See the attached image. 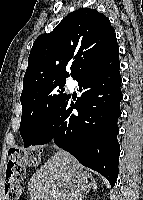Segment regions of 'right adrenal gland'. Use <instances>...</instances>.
<instances>
[{
  "label": "right adrenal gland",
  "mask_w": 143,
  "mask_h": 200,
  "mask_svg": "<svg viewBox=\"0 0 143 200\" xmlns=\"http://www.w3.org/2000/svg\"><path fill=\"white\" fill-rule=\"evenodd\" d=\"M90 189H92L93 191H96V189H97V183L94 179H91V188ZM87 193H85V195H83L82 199H80V200H84V198H86Z\"/></svg>",
  "instance_id": "right-adrenal-gland-1"
}]
</instances>
